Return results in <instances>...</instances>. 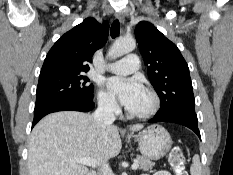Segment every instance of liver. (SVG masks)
Returning <instances> with one entry per match:
<instances>
[{
    "label": "liver",
    "instance_id": "obj_1",
    "mask_svg": "<svg viewBox=\"0 0 233 175\" xmlns=\"http://www.w3.org/2000/svg\"><path fill=\"white\" fill-rule=\"evenodd\" d=\"M143 125H133L132 132ZM122 148L118 128L105 129L93 115L61 111L47 115L34 127L28 150L29 175H87L88 167L72 162L90 157L99 165L116 157Z\"/></svg>",
    "mask_w": 233,
    "mask_h": 175
}]
</instances>
